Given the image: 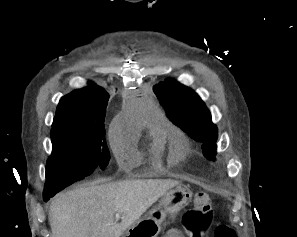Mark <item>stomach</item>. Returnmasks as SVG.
<instances>
[{"mask_svg": "<svg viewBox=\"0 0 297 237\" xmlns=\"http://www.w3.org/2000/svg\"><path fill=\"white\" fill-rule=\"evenodd\" d=\"M192 198V192L181 185L168 190L159 204L152 208L143 218L127 228L122 237H157L167 214H176Z\"/></svg>", "mask_w": 297, "mask_h": 237, "instance_id": "obj_1", "label": "stomach"}]
</instances>
